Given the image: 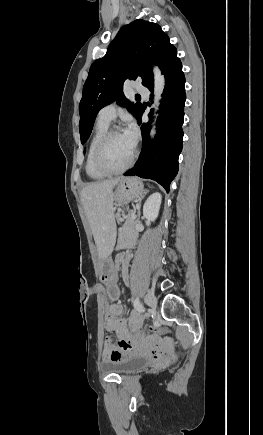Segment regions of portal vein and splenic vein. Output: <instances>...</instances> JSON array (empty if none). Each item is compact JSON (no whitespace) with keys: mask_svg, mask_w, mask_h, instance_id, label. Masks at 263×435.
Returning <instances> with one entry per match:
<instances>
[{"mask_svg":"<svg viewBox=\"0 0 263 435\" xmlns=\"http://www.w3.org/2000/svg\"><path fill=\"white\" fill-rule=\"evenodd\" d=\"M136 218L135 215H131V219L134 220Z\"/></svg>","mask_w":263,"mask_h":435,"instance_id":"18ae733b","label":"portal vein and splenic vein"}]
</instances>
